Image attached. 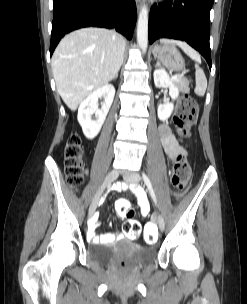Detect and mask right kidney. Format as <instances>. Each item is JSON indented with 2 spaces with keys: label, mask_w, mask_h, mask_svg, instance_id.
I'll use <instances>...</instances> for the list:
<instances>
[{
  "label": "right kidney",
  "mask_w": 247,
  "mask_h": 304,
  "mask_svg": "<svg viewBox=\"0 0 247 304\" xmlns=\"http://www.w3.org/2000/svg\"><path fill=\"white\" fill-rule=\"evenodd\" d=\"M115 96V88L105 84L94 90L79 106L77 119L83 133L88 139H93L99 133ZM104 97L101 109H98V99ZM95 115L96 120L91 116Z\"/></svg>",
  "instance_id": "obj_1"
}]
</instances>
